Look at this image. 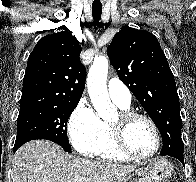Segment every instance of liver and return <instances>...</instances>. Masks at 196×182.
I'll return each instance as SVG.
<instances>
[{
  "mask_svg": "<svg viewBox=\"0 0 196 182\" xmlns=\"http://www.w3.org/2000/svg\"><path fill=\"white\" fill-rule=\"evenodd\" d=\"M136 166L92 161L67 154L47 140L21 146L13 158V182H125Z\"/></svg>",
  "mask_w": 196,
  "mask_h": 182,
  "instance_id": "1",
  "label": "liver"
}]
</instances>
